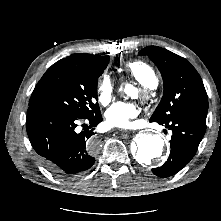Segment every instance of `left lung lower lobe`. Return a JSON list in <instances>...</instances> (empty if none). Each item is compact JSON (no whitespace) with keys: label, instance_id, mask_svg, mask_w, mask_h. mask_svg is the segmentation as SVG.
<instances>
[{"label":"left lung lower lobe","instance_id":"1","mask_svg":"<svg viewBox=\"0 0 221 221\" xmlns=\"http://www.w3.org/2000/svg\"><path fill=\"white\" fill-rule=\"evenodd\" d=\"M164 125L173 132L170 155L161 167L152 169L162 178L176 174L193 158L206 131V123L186 116L173 118Z\"/></svg>","mask_w":221,"mask_h":221}]
</instances>
